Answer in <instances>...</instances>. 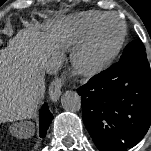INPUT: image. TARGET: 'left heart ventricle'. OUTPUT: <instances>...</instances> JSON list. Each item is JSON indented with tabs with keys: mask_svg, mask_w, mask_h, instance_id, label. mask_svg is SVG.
<instances>
[{
	"mask_svg": "<svg viewBox=\"0 0 151 151\" xmlns=\"http://www.w3.org/2000/svg\"><path fill=\"white\" fill-rule=\"evenodd\" d=\"M121 24L115 18L107 19L100 27L91 47V56L100 59L106 56L115 46L120 33Z\"/></svg>",
	"mask_w": 151,
	"mask_h": 151,
	"instance_id": "1",
	"label": "left heart ventricle"
}]
</instances>
